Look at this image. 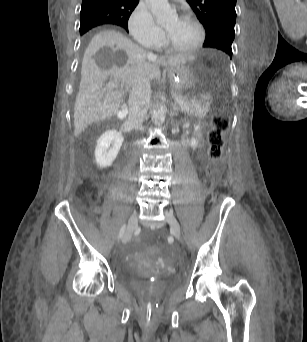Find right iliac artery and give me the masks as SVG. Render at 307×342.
<instances>
[{"label":"right iliac artery","mask_w":307,"mask_h":342,"mask_svg":"<svg viewBox=\"0 0 307 342\" xmlns=\"http://www.w3.org/2000/svg\"><path fill=\"white\" fill-rule=\"evenodd\" d=\"M125 230H126V226L123 225L119 231V238L120 239L124 236Z\"/></svg>","instance_id":"82829eb1"}]
</instances>
